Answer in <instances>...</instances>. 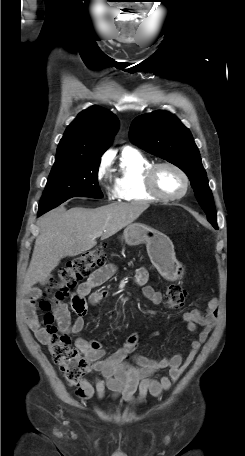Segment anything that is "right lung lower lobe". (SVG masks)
<instances>
[{
    "label": "right lung lower lobe",
    "mask_w": 245,
    "mask_h": 456,
    "mask_svg": "<svg viewBox=\"0 0 245 456\" xmlns=\"http://www.w3.org/2000/svg\"><path fill=\"white\" fill-rule=\"evenodd\" d=\"M38 215L40 216V215H42V213H38Z\"/></svg>",
    "instance_id": "right-lung-lower-lobe-1"
}]
</instances>
